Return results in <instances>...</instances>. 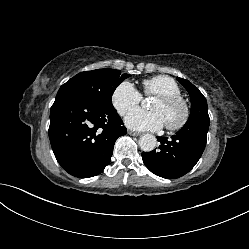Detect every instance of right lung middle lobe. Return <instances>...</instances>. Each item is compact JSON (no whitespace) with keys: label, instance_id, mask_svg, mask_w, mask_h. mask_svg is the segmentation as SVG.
Returning <instances> with one entry per match:
<instances>
[{"label":"right lung middle lobe","instance_id":"dd1d6c3e","mask_svg":"<svg viewBox=\"0 0 249 249\" xmlns=\"http://www.w3.org/2000/svg\"><path fill=\"white\" fill-rule=\"evenodd\" d=\"M129 76L114 69L84 71L63 84L58 93H75L98 106L114 108L111 102L112 95L117 86Z\"/></svg>","mask_w":249,"mask_h":249}]
</instances>
